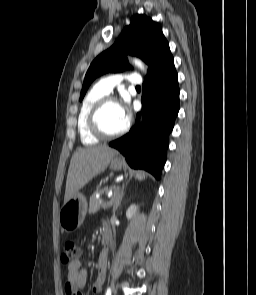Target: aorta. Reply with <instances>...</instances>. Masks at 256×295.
I'll list each match as a JSON object with an SVG mask.
<instances>
[{"label": "aorta", "instance_id": "aorta-1", "mask_svg": "<svg viewBox=\"0 0 256 295\" xmlns=\"http://www.w3.org/2000/svg\"><path fill=\"white\" fill-rule=\"evenodd\" d=\"M133 63H134V65H135L136 67H138L140 70L145 71V67H144L143 63H142L140 60L135 59V60L133 61Z\"/></svg>", "mask_w": 256, "mask_h": 295}]
</instances>
